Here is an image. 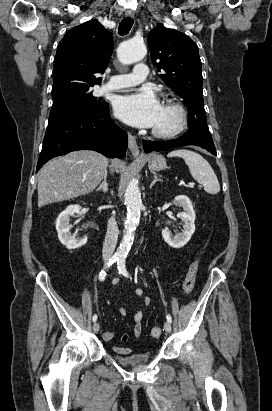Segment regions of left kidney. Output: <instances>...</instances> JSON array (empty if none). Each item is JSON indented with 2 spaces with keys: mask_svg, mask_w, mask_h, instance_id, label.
Returning a JSON list of instances; mask_svg holds the SVG:
<instances>
[{
  "mask_svg": "<svg viewBox=\"0 0 272 411\" xmlns=\"http://www.w3.org/2000/svg\"><path fill=\"white\" fill-rule=\"evenodd\" d=\"M174 204L182 207L184 210V212L178 213V217L183 222V231L182 233H178L175 236H172V234L168 230L164 229L162 230V237L169 246L173 248H181L188 243L195 231L194 221L196 215L193 209V205L187 196H176L174 199Z\"/></svg>",
  "mask_w": 272,
  "mask_h": 411,
  "instance_id": "1",
  "label": "left kidney"
}]
</instances>
